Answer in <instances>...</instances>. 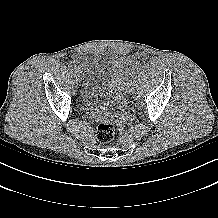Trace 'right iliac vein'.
<instances>
[{"label": "right iliac vein", "mask_w": 218, "mask_h": 218, "mask_svg": "<svg viewBox=\"0 0 218 218\" xmlns=\"http://www.w3.org/2000/svg\"><path fill=\"white\" fill-rule=\"evenodd\" d=\"M75 76H76L77 81H79V79H80L79 74H75Z\"/></svg>", "instance_id": "1"}]
</instances>
